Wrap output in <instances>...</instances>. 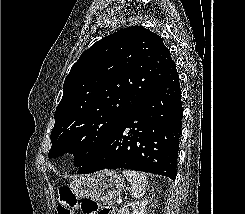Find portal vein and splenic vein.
<instances>
[{
    "label": "portal vein and splenic vein",
    "mask_w": 245,
    "mask_h": 214,
    "mask_svg": "<svg viewBox=\"0 0 245 214\" xmlns=\"http://www.w3.org/2000/svg\"><path fill=\"white\" fill-rule=\"evenodd\" d=\"M122 203V198H118L117 199V204H121Z\"/></svg>",
    "instance_id": "portal-vein-and-splenic-vein-1"
}]
</instances>
